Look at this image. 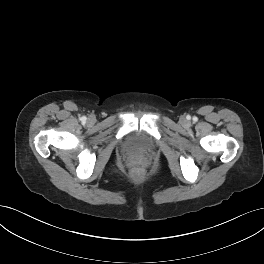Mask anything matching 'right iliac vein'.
<instances>
[{
    "label": "right iliac vein",
    "mask_w": 264,
    "mask_h": 264,
    "mask_svg": "<svg viewBox=\"0 0 264 264\" xmlns=\"http://www.w3.org/2000/svg\"><path fill=\"white\" fill-rule=\"evenodd\" d=\"M88 122H89L90 124H92V123L94 122V118L90 117V118L88 119Z\"/></svg>",
    "instance_id": "obj_1"
}]
</instances>
